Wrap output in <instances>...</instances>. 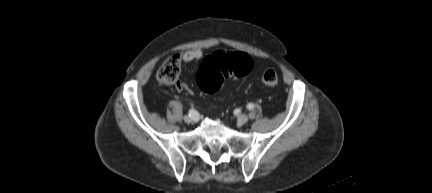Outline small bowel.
<instances>
[{
  "instance_id": "obj_1",
  "label": "small bowel",
  "mask_w": 432,
  "mask_h": 193,
  "mask_svg": "<svg viewBox=\"0 0 432 193\" xmlns=\"http://www.w3.org/2000/svg\"><path fill=\"white\" fill-rule=\"evenodd\" d=\"M203 56V51L200 49L187 50L182 54V60L185 63H190L201 59ZM183 85L181 83H177V88L182 89Z\"/></svg>"
}]
</instances>
